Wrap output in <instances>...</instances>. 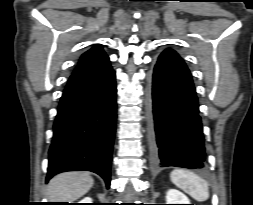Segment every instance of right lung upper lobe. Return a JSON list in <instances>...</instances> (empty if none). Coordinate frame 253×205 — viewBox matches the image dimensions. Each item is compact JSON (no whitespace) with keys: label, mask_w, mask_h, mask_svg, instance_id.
<instances>
[{"label":"right lung upper lobe","mask_w":253,"mask_h":205,"mask_svg":"<svg viewBox=\"0 0 253 205\" xmlns=\"http://www.w3.org/2000/svg\"><path fill=\"white\" fill-rule=\"evenodd\" d=\"M108 59L109 58L103 51L102 47L100 45H95L93 48L81 56L79 63L73 73L94 67Z\"/></svg>","instance_id":"right-lung-upper-lobe-1"}]
</instances>
